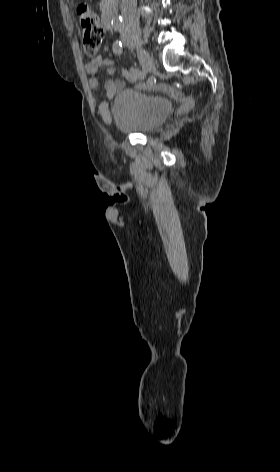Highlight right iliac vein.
<instances>
[{
	"label": "right iliac vein",
	"instance_id": "obj_1",
	"mask_svg": "<svg viewBox=\"0 0 280 472\" xmlns=\"http://www.w3.org/2000/svg\"><path fill=\"white\" fill-rule=\"evenodd\" d=\"M125 43L130 48H135L137 50V55L142 66L143 72L148 73L154 68V63L152 58L150 57L149 53L144 49L138 47L136 40L133 37H128L125 39Z\"/></svg>",
	"mask_w": 280,
	"mask_h": 472
}]
</instances>
